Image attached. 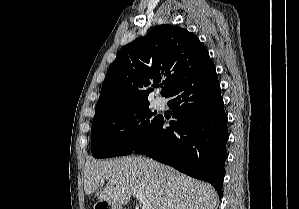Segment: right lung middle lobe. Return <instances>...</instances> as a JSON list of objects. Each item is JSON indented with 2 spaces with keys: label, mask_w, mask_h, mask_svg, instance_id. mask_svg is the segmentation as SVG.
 <instances>
[{
  "label": "right lung middle lobe",
  "mask_w": 299,
  "mask_h": 209,
  "mask_svg": "<svg viewBox=\"0 0 299 209\" xmlns=\"http://www.w3.org/2000/svg\"><path fill=\"white\" fill-rule=\"evenodd\" d=\"M149 103L121 107L95 115L91 128V149L95 158L129 155L156 124Z\"/></svg>",
  "instance_id": "1"
}]
</instances>
